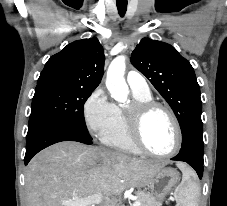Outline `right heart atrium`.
<instances>
[{
	"instance_id": "d8ad5b80",
	"label": "right heart atrium",
	"mask_w": 227,
	"mask_h": 206,
	"mask_svg": "<svg viewBox=\"0 0 227 206\" xmlns=\"http://www.w3.org/2000/svg\"><path fill=\"white\" fill-rule=\"evenodd\" d=\"M84 121L88 131L102 138L115 120V105L110 102L103 89H95L83 105Z\"/></svg>"
}]
</instances>
